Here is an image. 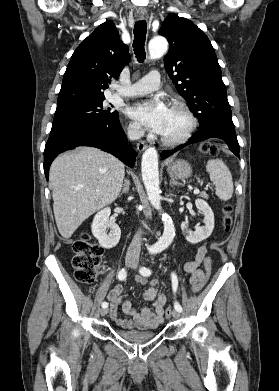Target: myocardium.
Masks as SVG:
<instances>
[{
    "instance_id": "1",
    "label": "myocardium",
    "mask_w": 279,
    "mask_h": 391,
    "mask_svg": "<svg viewBox=\"0 0 279 391\" xmlns=\"http://www.w3.org/2000/svg\"><path fill=\"white\" fill-rule=\"evenodd\" d=\"M171 109H177L184 113L188 119V127L186 130L176 138H168L160 134V140L163 144L168 146H175L186 142L197 126V118L190 108L181 101H174L170 104Z\"/></svg>"
}]
</instances>
